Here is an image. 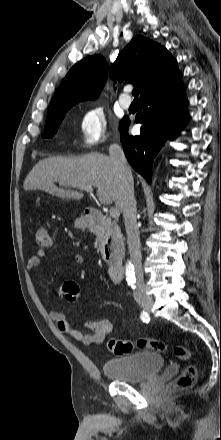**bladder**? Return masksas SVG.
Masks as SVG:
<instances>
[{"label":"bladder","mask_w":221,"mask_h":440,"mask_svg":"<svg viewBox=\"0 0 221 440\" xmlns=\"http://www.w3.org/2000/svg\"><path fill=\"white\" fill-rule=\"evenodd\" d=\"M165 365L159 353L141 351L113 357L102 364L103 373L112 380L137 383L157 375Z\"/></svg>","instance_id":"1"}]
</instances>
